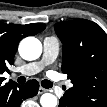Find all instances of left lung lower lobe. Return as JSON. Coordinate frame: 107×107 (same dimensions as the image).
I'll return each instance as SVG.
<instances>
[{
  "label": "left lung lower lobe",
  "instance_id": "left-lung-lower-lobe-1",
  "mask_svg": "<svg viewBox=\"0 0 107 107\" xmlns=\"http://www.w3.org/2000/svg\"><path fill=\"white\" fill-rule=\"evenodd\" d=\"M107 95L103 94L97 99L89 98L81 88L73 83L60 99L59 107H106Z\"/></svg>",
  "mask_w": 107,
  "mask_h": 107
}]
</instances>
